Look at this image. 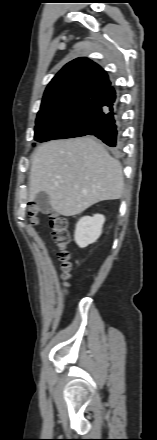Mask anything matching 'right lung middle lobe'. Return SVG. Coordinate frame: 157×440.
Returning <instances> with one entry per match:
<instances>
[{
  "instance_id": "obj_1",
  "label": "right lung middle lobe",
  "mask_w": 157,
  "mask_h": 440,
  "mask_svg": "<svg viewBox=\"0 0 157 440\" xmlns=\"http://www.w3.org/2000/svg\"><path fill=\"white\" fill-rule=\"evenodd\" d=\"M92 135L82 121L77 120H46L36 122L35 140L45 142L52 139H64Z\"/></svg>"
}]
</instances>
